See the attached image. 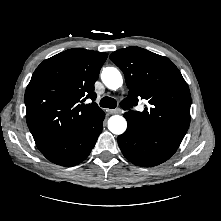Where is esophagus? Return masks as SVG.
<instances>
[{
    "label": "esophagus",
    "instance_id": "esophagus-1",
    "mask_svg": "<svg viewBox=\"0 0 221 221\" xmlns=\"http://www.w3.org/2000/svg\"><path fill=\"white\" fill-rule=\"evenodd\" d=\"M109 114H119L120 113V109H107L106 110Z\"/></svg>",
    "mask_w": 221,
    "mask_h": 221
}]
</instances>
